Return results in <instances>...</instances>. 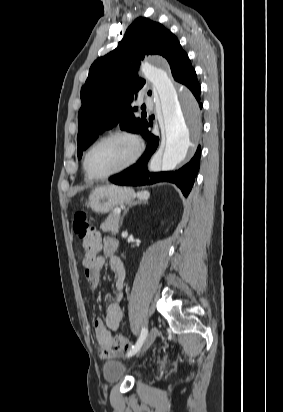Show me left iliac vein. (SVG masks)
<instances>
[{
    "label": "left iliac vein",
    "instance_id": "left-iliac-vein-1",
    "mask_svg": "<svg viewBox=\"0 0 283 412\" xmlns=\"http://www.w3.org/2000/svg\"><path fill=\"white\" fill-rule=\"evenodd\" d=\"M157 335H158V328L156 326H154V327H152V329L147 334V336L144 340L142 349H141L140 353H138V355L144 353L152 345V343L156 339Z\"/></svg>",
    "mask_w": 283,
    "mask_h": 412
}]
</instances>
